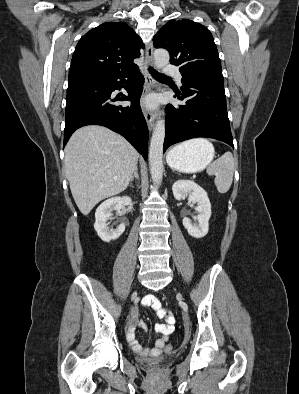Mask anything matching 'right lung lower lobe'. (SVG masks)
I'll use <instances>...</instances> for the list:
<instances>
[{"mask_svg":"<svg viewBox=\"0 0 299 394\" xmlns=\"http://www.w3.org/2000/svg\"><path fill=\"white\" fill-rule=\"evenodd\" d=\"M125 78H128L126 80ZM143 76L138 68L115 75L96 76L70 82L64 129V146L72 133L86 125H102L124 136L147 159L148 128L139 99ZM128 95L114 96V90L124 87ZM131 101V106L116 105V101Z\"/></svg>","mask_w":299,"mask_h":394,"instance_id":"98d812e1","label":"right lung lower lobe"}]
</instances>
